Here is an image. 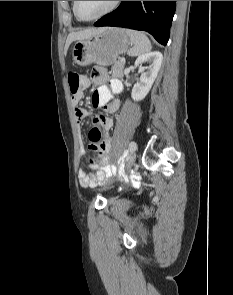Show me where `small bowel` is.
Wrapping results in <instances>:
<instances>
[{
	"label": "small bowel",
	"mask_w": 233,
	"mask_h": 295,
	"mask_svg": "<svg viewBox=\"0 0 233 295\" xmlns=\"http://www.w3.org/2000/svg\"><path fill=\"white\" fill-rule=\"evenodd\" d=\"M92 79L99 85L93 93L92 103L95 107L103 109V114L94 117L93 122L96 127L101 128L105 132V135L101 144V157L96 163L91 165L93 172L87 174L85 171L80 170L78 173L79 183L84 188L95 187L117 171V167L108 162L110 139L107 132L113 125L109 115L116 113L120 107V101L113 99L112 95L120 93L123 86L117 79H112L105 84L107 77L105 71L101 68H95L92 71ZM82 98L83 92L72 96V103L75 105L74 116L78 123H81L88 114L84 108L78 106ZM81 154H84V150H81Z\"/></svg>",
	"instance_id": "small-bowel-1"
}]
</instances>
